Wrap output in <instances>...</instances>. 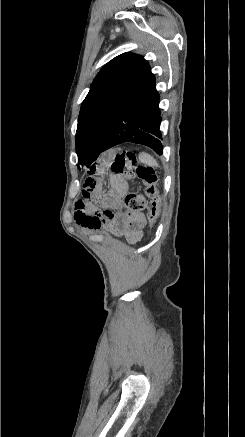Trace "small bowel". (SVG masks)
I'll list each match as a JSON object with an SVG mask.
<instances>
[{
  "label": "small bowel",
  "instance_id": "small-bowel-1",
  "mask_svg": "<svg viewBox=\"0 0 245 437\" xmlns=\"http://www.w3.org/2000/svg\"><path fill=\"white\" fill-rule=\"evenodd\" d=\"M115 156L106 150L99 156L96 166H90L84 183V195L93 206L101 205V199L94 196L100 192L101 185L96 180H101L104 171H110L113 167ZM112 195L108 197L107 208L100 213H90L88 204L79 200L75 205V219L78 224L90 229L99 230L102 227L110 230L116 236L124 237L130 244H136L143 235L145 217L141 212L114 213L111 209L116 206V198L125 194L126 184L119 176H113L109 180Z\"/></svg>",
  "mask_w": 245,
  "mask_h": 437
}]
</instances>
